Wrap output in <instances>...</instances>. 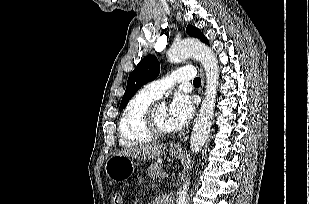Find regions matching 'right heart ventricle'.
I'll list each match as a JSON object with an SVG mask.
<instances>
[{
	"label": "right heart ventricle",
	"mask_w": 309,
	"mask_h": 204,
	"mask_svg": "<svg viewBox=\"0 0 309 204\" xmlns=\"http://www.w3.org/2000/svg\"><path fill=\"white\" fill-rule=\"evenodd\" d=\"M157 98L144 90L134 95L124 108L118 126L120 143L132 146L147 143L152 136L143 126V114Z\"/></svg>",
	"instance_id": "1"
}]
</instances>
